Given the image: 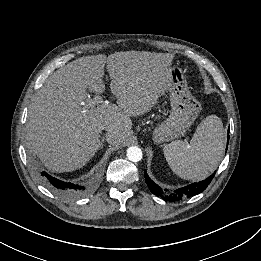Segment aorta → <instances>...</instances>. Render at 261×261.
I'll use <instances>...</instances> for the list:
<instances>
[{"instance_id": "obj_1", "label": "aorta", "mask_w": 261, "mask_h": 261, "mask_svg": "<svg viewBox=\"0 0 261 261\" xmlns=\"http://www.w3.org/2000/svg\"><path fill=\"white\" fill-rule=\"evenodd\" d=\"M142 156V150L137 146H131L127 149V157L132 162H139Z\"/></svg>"}]
</instances>
